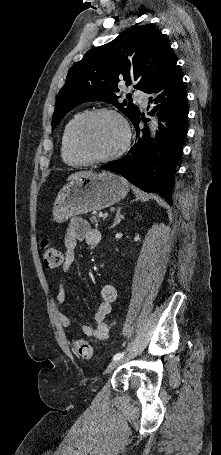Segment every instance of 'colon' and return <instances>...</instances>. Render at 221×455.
I'll return each instance as SVG.
<instances>
[{
	"label": "colon",
	"mask_w": 221,
	"mask_h": 455,
	"mask_svg": "<svg viewBox=\"0 0 221 455\" xmlns=\"http://www.w3.org/2000/svg\"><path fill=\"white\" fill-rule=\"evenodd\" d=\"M42 257L46 267L57 268L63 263V257L61 252L50 245L48 240H44L42 244ZM75 352L83 359H90L93 356V350L91 345L81 339H77L73 342Z\"/></svg>",
	"instance_id": "colon-1"
}]
</instances>
